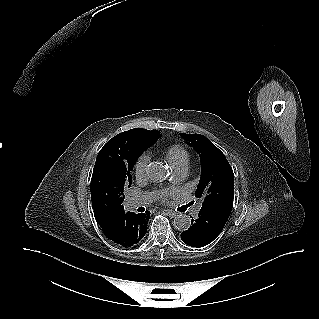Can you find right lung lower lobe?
Listing matches in <instances>:
<instances>
[{
  "mask_svg": "<svg viewBox=\"0 0 319 319\" xmlns=\"http://www.w3.org/2000/svg\"><path fill=\"white\" fill-rule=\"evenodd\" d=\"M149 216L148 211L135 214L125 212L124 206H121L108 210L98 224L107 238L123 247H131L145 236Z\"/></svg>",
  "mask_w": 319,
  "mask_h": 319,
  "instance_id": "98d812e1",
  "label": "right lung lower lobe"
}]
</instances>
